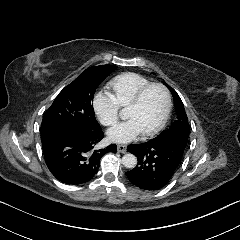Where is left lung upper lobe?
<instances>
[{"label":"left lung upper lobe","instance_id":"5c2ea615","mask_svg":"<svg viewBox=\"0 0 240 240\" xmlns=\"http://www.w3.org/2000/svg\"><path fill=\"white\" fill-rule=\"evenodd\" d=\"M164 84L169 88L172 93L175 110L177 112V120L172 123L170 128L162 131L156 138H153L152 140L174 139L180 140L183 143L187 144L190 126L188 123V118L185 112L183 102L174 89H172L166 83Z\"/></svg>","mask_w":240,"mask_h":240}]
</instances>
